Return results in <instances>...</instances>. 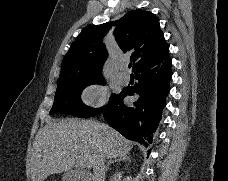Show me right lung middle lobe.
Returning a JSON list of instances; mask_svg holds the SVG:
<instances>
[{
  "label": "right lung middle lobe",
  "mask_w": 228,
  "mask_h": 181,
  "mask_svg": "<svg viewBox=\"0 0 228 181\" xmlns=\"http://www.w3.org/2000/svg\"><path fill=\"white\" fill-rule=\"evenodd\" d=\"M91 84H105V80L101 77L58 84L50 114L61 112L80 118H89L101 114L104 111V107L93 109L81 101L80 95L82 90ZM118 96L119 94H112L108 105L113 103Z\"/></svg>",
  "instance_id": "obj_1"
}]
</instances>
